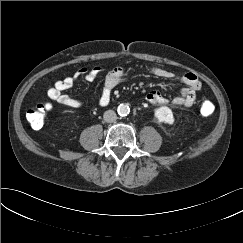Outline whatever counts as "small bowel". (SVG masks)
I'll use <instances>...</instances> for the list:
<instances>
[{
    "label": "small bowel",
    "mask_w": 243,
    "mask_h": 243,
    "mask_svg": "<svg viewBox=\"0 0 243 243\" xmlns=\"http://www.w3.org/2000/svg\"><path fill=\"white\" fill-rule=\"evenodd\" d=\"M102 72L103 69L99 66L92 69L81 68L73 76H68L56 81L54 85L48 89V97L65 108L71 110L79 109L84 103L68 96L64 91L71 88L77 79L83 78L88 82H93ZM150 72L154 76L162 79H171L174 77V74L171 71L159 67L152 68ZM127 74L128 71L124 67H115L106 74L102 93L99 98L100 106L108 105L113 89L123 81ZM181 81L186 87L183 88L180 94L174 97L171 101L157 90H153L147 94V101L153 105L171 104L173 106L190 107L194 104L197 92L201 89V82L193 73L184 74L181 77Z\"/></svg>",
    "instance_id": "c3829d8e"
}]
</instances>
